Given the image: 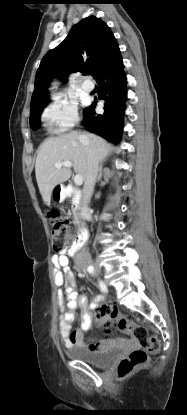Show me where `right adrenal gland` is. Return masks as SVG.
I'll use <instances>...</instances> for the list:
<instances>
[{"mask_svg":"<svg viewBox=\"0 0 187 415\" xmlns=\"http://www.w3.org/2000/svg\"><path fill=\"white\" fill-rule=\"evenodd\" d=\"M102 175H103V164L101 163L100 167H99V174H98V177H97V182H99L101 180Z\"/></svg>","mask_w":187,"mask_h":415,"instance_id":"2a0ac1e0","label":"right adrenal gland"}]
</instances>
